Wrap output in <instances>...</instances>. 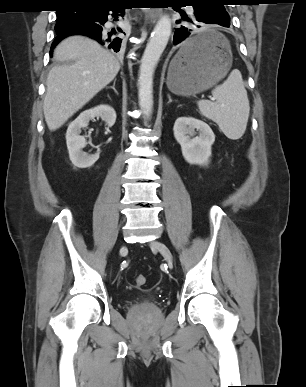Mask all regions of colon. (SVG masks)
<instances>
[{
    "label": "colon",
    "mask_w": 306,
    "mask_h": 387,
    "mask_svg": "<svg viewBox=\"0 0 306 387\" xmlns=\"http://www.w3.org/2000/svg\"><path fill=\"white\" fill-rule=\"evenodd\" d=\"M134 283L137 287H142L146 283V278L144 275L139 274L134 278Z\"/></svg>",
    "instance_id": "obj_1"
}]
</instances>
